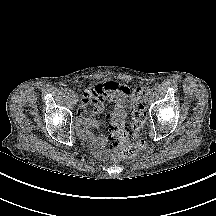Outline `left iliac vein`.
I'll return each instance as SVG.
<instances>
[{
    "label": "left iliac vein",
    "instance_id": "1",
    "mask_svg": "<svg viewBox=\"0 0 216 216\" xmlns=\"http://www.w3.org/2000/svg\"><path fill=\"white\" fill-rule=\"evenodd\" d=\"M148 95H149L148 93H145V95L143 96V101H144V102H147V101H148V98H149Z\"/></svg>",
    "mask_w": 216,
    "mask_h": 216
}]
</instances>
